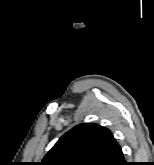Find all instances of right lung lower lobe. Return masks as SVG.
Masks as SVG:
<instances>
[{"label":"right lung lower lobe","mask_w":154,"mask_h":165,"mask_svg":"<svg viewBox=\"0 0 154 165\" xmlns=\"http://www.w3.org/2000/svg\"><path fill=\"white\" fill-rule=\"evenodd\" d=\"M111 165H127V162L124 160L121 148H120L119 153L115 157L114 161L111 163Z\"/></svg>","instance_id":"obj_1"}]
</instances>
